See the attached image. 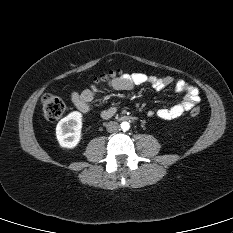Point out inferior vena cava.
<instances>
[{"instance_id":"inferior-vena-cava-1","label":"inferior vena cava","mask_w":233,"mask_h":233,"mask_svg":"<svg viewBox=\"0 0 233 233\" xmlns=\"http://www.w3.org/2000/svg\"><path fill=\"white\" fill-rule=\"evenodd\" d=\"M119 128H120L119 124L115 121H110L106 124V129L110 133L118 131Z\"/></svg>"}]
</instances>
